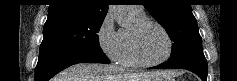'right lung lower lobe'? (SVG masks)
Masks as SVG:
<instances>
[{
  "instance_id": "98d812e1",
  "label": "right lung lower lobe",
  "mask_w": 237,
  "mask_h": 81,
  "mask_svg": "<svg viewBox=\"0 0 237 81\" xmlns=\"http://www.w3.org/2000/svg\"><path fill=\"white\" fill-rule=\"evenodd\" d=\"M103 52L40 49L35 81H48L58 72L77 63H109Z\"/></svg>"
}]
</instances>
